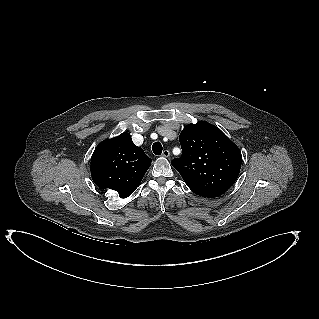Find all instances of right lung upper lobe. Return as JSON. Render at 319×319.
<instances>
[{
  "label": "right lung upper lobe",
  "mask_w": 319,
  "mask_h": 319,
  "mask_svg": "<svg viewBox=\"0 0 319 319\" xmlns=\"http://www.w3.org/2000/svg\"><path fill=\"white\" fill-rule=\"evenodd\" d=\"M150 165L151 159L125 132L97 146L91 158V175L99 188L112 189L126 198L139 186Z\"/></svg>",
  "instance_id": "1"
}]
</instances>
